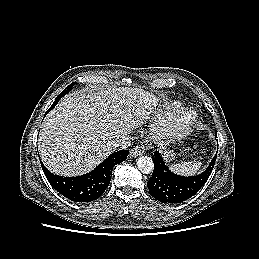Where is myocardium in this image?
I'll return each mask as SVG.
<instances>
[{
    "label": "myocardium",
    "instance_id": "myocardium-1",
    "mask_svg": "<svg viewBox=\"0 0 259 259\" xmlns=\"http://www.w3.org/2000/svg\"><path fill=\"white\" fill-rule=\"evenodd\" d=\"M198 113L194 109L184 108L179 110L167 122L154 130V138L160 142H169L187 134L197 123Z\"/></svg>",
    "mask_w": 259,
    "mask_h": 259
}]
</instances>
